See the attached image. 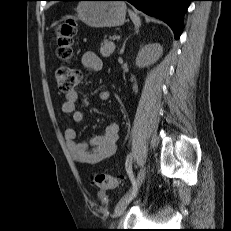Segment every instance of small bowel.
I'll use <instances>...</instances> for the list:
<instances>
[{
    "mask_svg": "<svg viewBox=\"0 0 231 231\" xmlns=\"http://www.w3.org/2000/svg\"><path fill=\"white\" fill-rule=\"evenodd\" d=\"M82 65L86 69L95 72L103 69L102 60L93 52L83 54ZM99 99L102 102H108L110 99L109 92H100ZM78 104L79 97L77 92L71 91L66 94L61 110L65 114H70L75 123H82L85 115L81 110L77 109ZM119 128V123H110L105 127L102 135L93 136L86 142L76 141V130L67 128L64 132V138L70 155L75 161L83 164H95L111 157L118 148Z\"/></svg>",
    "mask_w": 231,
    "mask_h": 231,
    "instance_id": "small-bowel-1",
    "label": "small bowel"
}]
</instances>
